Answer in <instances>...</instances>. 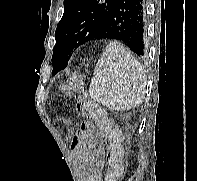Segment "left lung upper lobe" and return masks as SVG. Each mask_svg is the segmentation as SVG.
<instances>
[{"label":"left lung upper lobe","instance_id":"obj_1","mask_svg":"<svg viewBox=\"0 0 197 181\" xmlns=\"http://www.w3.org/2000/svg\"><path fill=\"white\" fill-rule=\"evenodd\" d=\"M114 0H64V14L56 32L52 74L64 69L75 49L94 40L100 22Z\"/></svg>","mask_w":197,"mask_h":181}]
</instances>
